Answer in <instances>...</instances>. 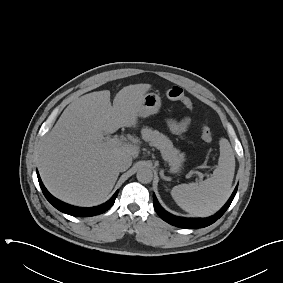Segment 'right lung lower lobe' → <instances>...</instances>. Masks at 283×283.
<instances>
[{
  "label": "right lung lower lobe",
  "mask_w": 283,
  "mask_h": 283,
  "mask_svg": "<svg viewBox=\"0 0 283 283\" xmlns=\"http://www.w3.org/2000/svg\"><path fill=\"white\" fill-rule=\"evenodd\" d=\"M37 176H38V181H39L40 187H41L43 194L46 197V199L59 211L66 213V214H69V215H72V216L89 217V216L101 214V213L107 211L114 204L115 199H116L117 194H118V191H117L109 201H107L106 203H104L100 206H97V207H90V208L75 207V206L64 203V202L56 199L55 197H53L47 191L45 186L43 185L39 174H37Z\"/></svg>",
  "instance_id": "obj_1"
}]
</instances>
